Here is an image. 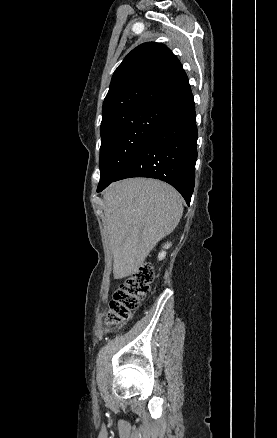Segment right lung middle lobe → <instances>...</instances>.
Here are the masks:
<instances>
[{
    "mask_svg": "<svg viewBox=\"0 0 277 438\" xmlns=\"http://www.w3.org/2000/svg\"><path fill=\"white\" fill-rule=\"evenodd\" d=\"M164 110L136 116L116 115L102 120L99 186L110 183L141 148Z\"/></svg>",
    "mask_w": 277,
    "mask_h": 438,
    "instance_id": "1",
    "label": "right lung middle lobe"
}]
</instances>
